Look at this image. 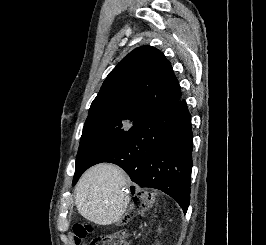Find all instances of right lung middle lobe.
Masks as SVG:
<instances>
[{
	"mask_svg": "<svg viewBox=\"0 0 266 245\" xmlns=\"http://www.w3.org/2000/svg\"><path fill=\"white\" fill-rule=\"evenodd\" d=\"M142 117L103 112L87 117L76 157L73 183L101 153L119 141Z\"/></svg>",
	"mask_w": 266,
	"mask_h": 245,
	"instance_id": "1",
	"label": "right lung middle lobe"
}]
</instances>
